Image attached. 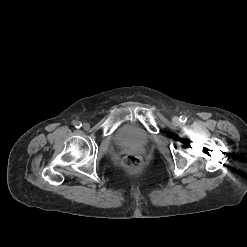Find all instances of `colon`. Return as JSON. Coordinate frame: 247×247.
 Wrapping results in <instances>:
<instances>
[{"mask_svg":"<svg viewBox=\"0 0 247 247\" xmlns=\"http://www.w3.org/2000/svg\"><path fill=\"white\" fill-rule=\"evenodd\" d=\"M140 164V158L136 155H127L123 160V165L128 170H137Z\"/></svg>","mask_w":247,"mask_h":247,"instance_id":"1","label":"colon"}]
</instances>
